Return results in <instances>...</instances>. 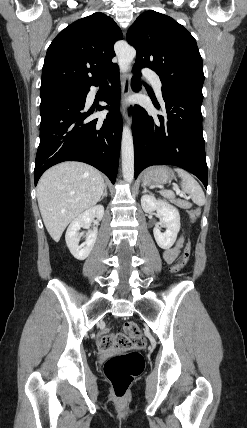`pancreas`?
Instances as JSON below:
<instances>
[{"label": "pancreas", "instance_id": "obj_1", "mask_svg": "<svg viewBox=\"0 0 247 428\" xmlns=\"http://www.w3.org/2000/svg\"><path fill=\"white\" fill-rule=\"evenodd\" d=\"M171 202L183 209H189L191 207V203H189L188 201L173 199L171 200Z\"/></svg>", "mask_w": 247, "mask_h": 428}]
</instances>
